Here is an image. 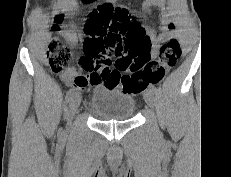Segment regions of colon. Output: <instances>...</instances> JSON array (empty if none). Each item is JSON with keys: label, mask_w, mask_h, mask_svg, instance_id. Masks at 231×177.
<instances>
[{"label": "colon", "mask_w": 231, "mask_h": 177, "mask_svg": "<svg viewBox=\"0 0 231 177\" xmlns=\"http://www.w3.org/2000/svg\"><path fill=\"white\" fill-rule=\"evenodd\" d=\"M94 1L81 0L83 4ZM84 32L85 56L102 68L110 83L121 85L129 93H140L149 84H159L181 55L178 41L172 38L160 47L157 58L151 59L149 36L131 21L127 10L109 3L91 12ZM47 57L52 71L62 73L72 60V51L55 37L49 43ZM113 59L115 68L111 70Z\"/></svg>", "instance_id": "1"}]
</instances>
